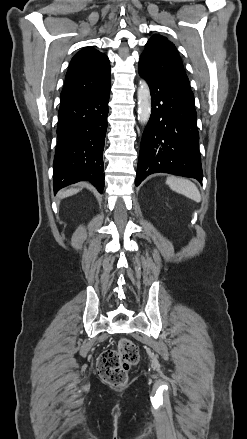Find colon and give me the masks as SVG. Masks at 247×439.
Instances as JSON below:
<instances>
[{
  "mask_svg": "<svg viewBox=\"0 0 247 439\" xmlns=\"http://www.w3.org/2000/svg\"><path fill=\"white\" fill-rule=\"evenodd\" d=\"M139 361L135 344L126 338L119 340L116 349L103 351L97 362L100 378L107 384L120 387L127 382L128 373Z\"/></svg>",
  "mask_w": 247,
  "mask_h": 439,
  "instance_id": "1",
  "label": "colon"
}]
</instances>
